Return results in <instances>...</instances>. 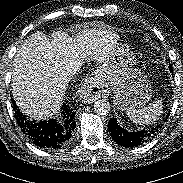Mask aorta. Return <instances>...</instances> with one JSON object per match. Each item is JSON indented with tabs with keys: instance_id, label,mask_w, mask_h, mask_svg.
Wrapping results in <instances>:
<instances>
[{
	"instance_id": "aorta-1",
	"label": "aorta",
	"mask_w": 183,
	"mask_h": 183,
	"mask_svg": "<svg viewBox=\"0 0 183 183\" xmlns=\"http://www.w3.org/2000/svg\"><path fill=\"white\" fill-rule=\"evenodd\" d=\"M94 109L99 115H106L110 111V104L105 99H100L95 102Z\"/></svg>"
}]
</instances>
